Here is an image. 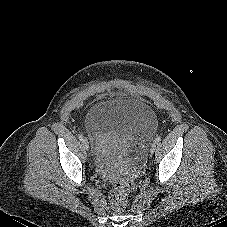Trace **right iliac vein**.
I'll return each mask as SVG.
<instances>
[{
    "instance_id": "obj_1",
    "label": "right iliac vein",
    "mask_w": 227,
    "mask_h": 227,
    "mask_svg": "<svg viewBox=\"0 0 227 227\" xmlns=\"http://www.w3.org/2000/svg\"><path fill=\"white\" fill-rule=\"evenodd\" d=\"M82 146L85 150H89V144H88V141L86 139H84L82 141Z\"/></svg>"
}]
</instances>
